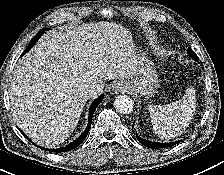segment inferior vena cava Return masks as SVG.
<instances>
[{
  "label": "inferior vena cava",
  "instance_id": "inferior-vena-cava-1",
  "mask_svg": "<svg viewBox=\"0 0 224 175\" xmlns=\"http://www.w3.org/2000/svg\"><path fill=\"white\" fill-rule=\"evenodd\" d=\"M100 91H101L100 87L90 85L84 89L83 95L85 98L90 99L94 96H97Z\"/></svg>",
  "mask_w": 224,
  "mask_h": 175
}]
</instances>
